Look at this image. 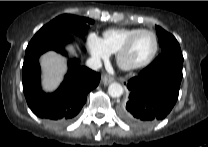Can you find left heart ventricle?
I'll list each match as a JSON object with an SVG mask.
<instances>
[{
  "label": "left heart ventricle",
  "instance_id": "obj_1",
  "mask_svg": "<svg viewBox=\"0 0 208 147\" xmlns=\"http://www.w3.org/2000/svg\"><path fill=\"white\" fill-rule=\"evenodd\" d=\"M154 48V37L149 33L141 34L124 56V61L128 64L142 63L151 56Z\"/></svg>",
  "mask_w": 208,
  "mask_h": 147
}]
</instances>
